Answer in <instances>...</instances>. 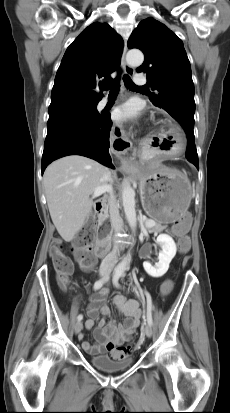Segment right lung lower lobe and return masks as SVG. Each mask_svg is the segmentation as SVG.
<instances>
[{
  "label": "right lung lower lobe",
  "mask_w": 230,
  "mask_h": 413,
  "mask_svg": "<svg viewBox=\"0 0 230 413\" xmlns=\"http://www.w3.org/2000/svg\"><path fill=\"white\" fill-rule=\"evenodd\" d=\"M111 126L109 114H100L97 118L64 119L47 125L42 174L52 161L68 155L89 157L114 168L109 155Z\"/></svg>",
  "instance_id": "obj_1"
}]
</instances>
